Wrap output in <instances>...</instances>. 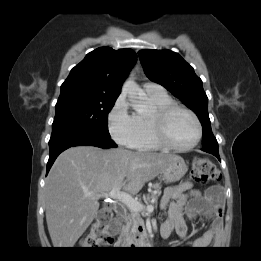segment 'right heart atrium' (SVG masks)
Masks as SVG:
<instances>
[{
  "mask_svg": "<svg viewBox=\"0 0 261 261\" xmlns=\"http://www.w3.org/2000/svg\"><path fill=\"white\" fill-rule=\"evenodd\" d=\"M107 119L112 138L121 145L132 147L137 137V124L124 95L117 97Z\"/></svg>",
  "mask_w": 261,
  "mask_h": 261,
  "instance_id": "obj_1",
  "label": "right heart atrium"
}]
</instances>
